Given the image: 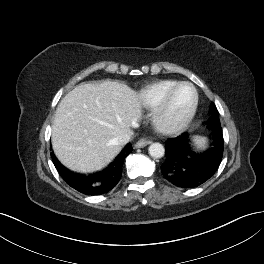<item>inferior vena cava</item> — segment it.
<instances>
[{"label": "inferior vena cava", "instance_id": "602c4592", "mask_svg": "<svg viewBox=\"0 0 264 264\" xmlns=\"http://www.w3.org/2000/svg\"><path fill=\"white\" fill-rule=\"evenodd\" d=\"M130 138H131V135L129 133H124V134L117 136L115 138V142L116 144L123 146L129 142Z\"/></svg>", "mask_w": 264, "mask_h": 264}]
</instances>
